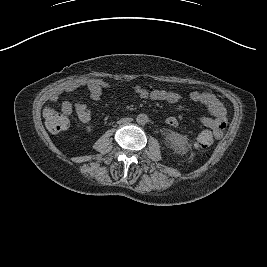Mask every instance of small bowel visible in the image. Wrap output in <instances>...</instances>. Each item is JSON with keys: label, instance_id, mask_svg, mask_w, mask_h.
<instances>
[{"label": "small bowel", "instance_id": "c3829d8e", "mask_svg": "<svg viewBox=\"0 0 267 267\" xmlns=\"http://www.w3.org/2000/svg\"><path fill=\"white\" fill-rule=\"evenodd\" d=\"M79 87H86L89 92V97L96 101L100 99L102 91L110 88L111 84L97 78H83L67 83L60 94L63 92H72ZM137 94L143 99L162 100L169 103H178L182 99V94L173 90L158 89L149 92L145 89H138ZM53 99L56 100L57 97ZM188 99L193 103L205 106L211 114L210 117L199 118V123L208 129L199 134L207 137L210 144H212L214 140L220 139L227 125L226 109L224 105L214 94L209 92L191 91L188 93ZM61 109L68 115L75 111L78 119L86 124V131L89 132L92 130V125L89 124L91 111L87 104L82 101H77L74 104L69 101H63ZM166 123L171 127H177L179 125L178 119L174 116L167 117Z\"/></svg>", "mask_w": 267, "mask_h": 267}]
</instances>
